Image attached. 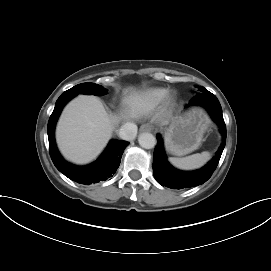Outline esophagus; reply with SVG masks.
<instances>
[{
	"label": "esophagus",
	"instance_id": "34e87169",
	"mask_svg": "<svg viewBox=\"0 0 271 271\" xmlns=\"http://www.w3.org/2000/svg\"><path fill=\"white\" fill-rule=\"evenodd\" d=\"M141 132H150L152 131V127L148 124H144L140 127Z\"/></svg>",
	"mask_w": 271,
	"mask_h": 271
}]
</instances>
